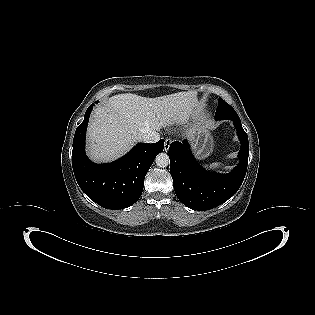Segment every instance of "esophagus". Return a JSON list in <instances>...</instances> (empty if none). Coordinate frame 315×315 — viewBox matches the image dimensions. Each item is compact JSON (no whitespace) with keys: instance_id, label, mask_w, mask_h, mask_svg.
Segmentation results:
<instances>
[{"instance_id":"esophagus-1","label":"esophagus","mask_w":315,"mask_h":315,"mask_svg":"<svg viewBox=\"0 0 315 315\" xmlns=\"http://www.w3.org/2000/svg\"><path fill=\"white\" fill-rule=\"evenodd\" d=\"M171 139L170 138H166L165 139V142H164V151H168L169 150V147H170V144H171Z\"/></svg>"}]
</instances>
